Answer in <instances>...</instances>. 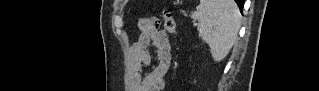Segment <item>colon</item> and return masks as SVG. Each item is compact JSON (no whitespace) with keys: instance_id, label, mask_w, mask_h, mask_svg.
Masks as SVG:
<instances>
[{"instance_id":"1","label":"colon","mask_w":319,"mask_h":91,"mask_svg":"<svg viewBox=\"0 0 319 91\" xmlns=\"http://www.w3.org/2000/svg\"><path fill=\"white\" fill-rule=\"evenodd\" d=\"M163 18H164V26L166 31L173 35L176 32V21L173 17V14L169 10H164L163 12ZM157 20V19H155Z\"/></svg>"}]
</instances>
